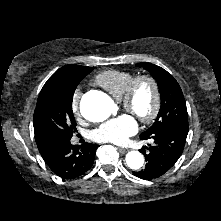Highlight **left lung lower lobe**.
<instances>
[{"label":"left lung lower lobe","mask_w":221,"mask_h":221,"mask_svg":"<svg viewBox=\"0 0 221 221\" xmlns=\"http://www.w3.org/2000/svg\"><path fill=\"white\" fill-rule=\"evenodd\" d=\"M188 134V124H178L150 135H140L142 140L152 139L154 145L141 149L146 167L133 174L141 179L152 180L164 175L181 156Z\"/></svg>","instance_id":"1"}]
</instances>
